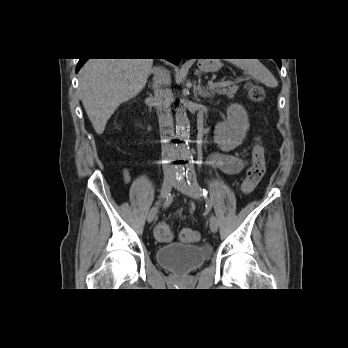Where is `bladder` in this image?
<instances>
[{
  "label": "bladder",
  "mask_w": 348,
  "mask_h": 348,
  "mask_svg": "<svg viewBox=\"0 0 348 348\" xmlns=\"http://www.w3.org/2000/svg\"><path fill=\"white\" fill-rule=\"evenodd\" d=\"M211 251L202 245L169 243L156 250L157 261L169 270L184 274L201 266Z\"/></svg>",
  "instance_id": "31cf9c89"
}]
</instances>
